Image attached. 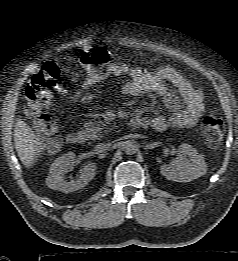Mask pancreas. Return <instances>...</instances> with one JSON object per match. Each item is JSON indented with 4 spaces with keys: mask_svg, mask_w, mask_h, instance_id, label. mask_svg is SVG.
Segmentation results:
<instances>
[{
    "mask_svg": "<svg viewBox=\"0 0 238 261\" xmlns=\"http://www.w3.org/2000/svg\"><path fill=\"white\" fill-rule=\"evenodd\" d=\"M107 128L105 122L101 121L100 119L95 121H89L84 124L83 132L89 139L98 140L103 137V133H107L109 129L104 130Z\"/></svg>",
    "mask_w": 238,
    "mask_h": 261,
    "instance_id": "cf45deb5",
    "label": "pancreas"
}]
</instances>
